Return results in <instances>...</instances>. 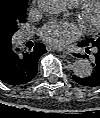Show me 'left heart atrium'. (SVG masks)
<instances>
[{
    "mask_svg": "<svg viewBox=\"0 0 100 118\" xmlns=\"http://www.w3.org/2000/svg\"><path fill=\"white\" fill-rule=\"evenodd\" d=\"M40 37L55 48L63 47L81 35L80 28L71 22L51 21L39 31Z\"/></svg>",
    "mask_w": 100,
    "mask_h": 118,
    "instance_id": "1",
    "label": "left heart atrium"
}]
</instances>
